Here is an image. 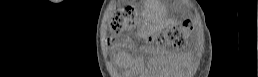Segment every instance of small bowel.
Instances as JSON below:
<instances>
[{
  "label": "small bowel",
  "mask_w": 258,
  "mask_h": 77,
  "mask_svg": "<svg viewBox=\"0 0 258 77\" xmlns=\"http://www.w3.org/2000/svg\"><path fill=\"white\" fill-rule=\"evenodd\" d=\"M123 57H126V55L123 54ZM129 60L136 67H139L141 65V60L139 59V57H129Z\"/></svg>",
  "instance_id": "small-bowel-1"
}]
</instances>
